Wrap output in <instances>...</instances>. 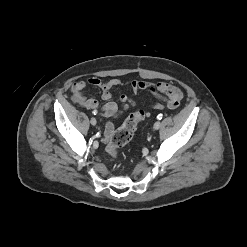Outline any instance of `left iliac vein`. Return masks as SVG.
Instances as JSON below:
<instances>
[{"mask_svg":"<svg viewBox=\"0 0 247 247\" xmlns=\"http://www.w3.org/2000/svg\"><path fill=\"white\" fill-rule=\"evenodd\" d=\"M160 126H161V123H160L159 121H157V122H155V124H154V129H155V130H158V129L160 128Z\"/></svg>","mask_w":247,"mask_h":247,"instance_id":"obj_1","label":"left iliac vein"}]
</instances>
